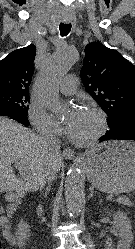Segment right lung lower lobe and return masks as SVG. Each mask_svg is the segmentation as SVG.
<instances>
[{
	"instance_id": "1",
	"label": "right lung lower lobe",
	"mask_w": 135,
	"mask_h": 249,
	"mask_svg": "<svg viewBox=\"0 0 135 249\" xmlns=\"http://www.w3.org/2000/svg\"><path fill=\"white\" fill-rule=\"evenodd\" d=\"M0 116H7L18 122L24 124L25 126H29V121L27 116H24L10 108L0 107Z\"/></svg>"
}]
</instances>
